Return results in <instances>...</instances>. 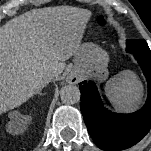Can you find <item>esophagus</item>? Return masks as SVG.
I'll return each instance as SVG.
<instances>
[{
	"instance_id": "1",
	"label": "esophagus",
	"mask_w": 151,
	"mask_h": 151,
	"mask_svg": "<svg viewBox=\"0 0 151 151\" xmlns=\"http://www.w3.org/2000/svg\"><path fill=\"white\" fill-rule=\"evenodd\" d=\"M66 81L70 84H77L79 82L78 78L74 75H69Z\"/></svg>"
}]
</instances>
